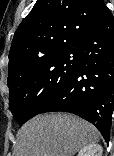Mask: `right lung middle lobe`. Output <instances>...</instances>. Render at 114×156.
I'll return each mask as SVG.
<instances>
[{"label":"right lung middle lobe","mask_w":114,"mask_h":156,"mask_svg":"<svg viewBox=\"0 0 114 156\" xmlns=\"http://www.w3.org/2000/svg\"><path fill=\"white\" fill-rule=\"evenodd\" d=\"M80 63L77 47L41 61L9 85L10 110L20 125L41 113L66 88Z\"/></svg>","instance_id":"obj_1"}]
</instances>
